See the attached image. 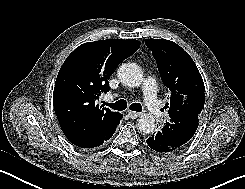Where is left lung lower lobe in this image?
<instances>
[{
	"label": "left lung lower lobe",
	"mask_w": 245,
	"mask_h": 189,
	"mask_svg": "<svg viewBox=\"0 0 245 189\" xmlns=\"http://www.w3.org/2000/svg\"><path fill=\"white\" fill-rule=\"evenodd\" d=\"M148 146L160 153H170L178 150L180 146L170 142V140L164 136L161 131L154 133L146 140Z\"/></svg>",
	"instance_id": "left-lung-lower-lobe-1"
}]
</instances>
